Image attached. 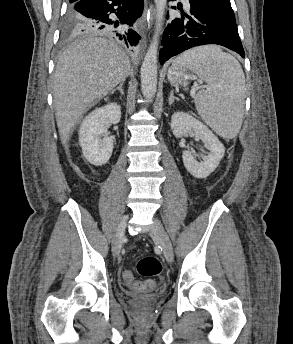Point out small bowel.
I'll return each instance as SVG.
<instances>
[{"mask_svg": "<svg viewBox=\"0 0 293 344\" xmlns=\"http://www.w3.org/2000/svg\"><path fill=\"white\" fill-rule=\"evenodd\" d=\"M134 291L143 292V283H137L134 286L129 285Z\"/></svg>", "mask_w": 293, "mask_h": 344, "instance_id": "small-bowel-1", "label": "small bowel"}]
</instances>
